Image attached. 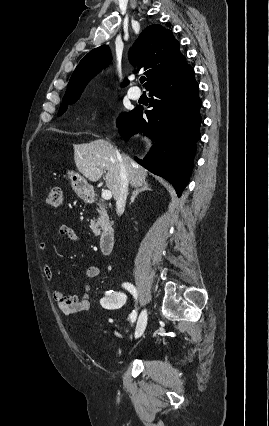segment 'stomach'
<instances>
[{
	"label": "stomach",
	"mask_w": 269,
	"mask_h": 426,
	"mask_svg": "<svg viewBox=\"0 0 269 426\" xmlns=\"http://www.w3.org/2000/svg\"><path fill=\"white\" fill-rule=\"evenodd\" d=\"M67 177L70 180L72 189L81 198L87 199L93 192V187L84 177L74 171H67Z\"/></svg>",
	"instance_id": "stomach-1"
}]
</instances>
